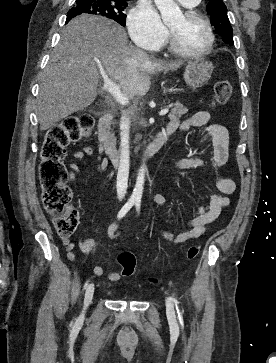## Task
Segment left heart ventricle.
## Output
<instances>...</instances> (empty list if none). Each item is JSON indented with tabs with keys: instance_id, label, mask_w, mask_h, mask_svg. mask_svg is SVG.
Listing matches in <instances>:
<instances>
[{
	"instance_id": "b2bd125f",
	"label": "left heart ventricle",
	"mask_w": 276,
	"mask_h": 363,
	"mask_svg": "<svg viewBox=\"0 0 276 363\" xmlns=\"http://www.w3.org/2000/svg\"><path fill=\"white\" fill-rule=\"evenodd\" d=\"M179 44L192 52L202 51L208 44V34L203 22L188 20L184 15L169 25Z\"/></svg>"
}]
</instances>
